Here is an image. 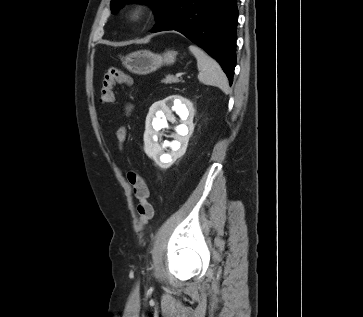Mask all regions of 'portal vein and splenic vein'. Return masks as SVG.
Here are the masks:
<instances>
[{"label":"portal vein and splenic vein","mask_w":363,"mask_h":317,"mask_svg":"<svg viewBox=\"0 0 363 317\" xmlns=\"http://www.w3.org/2000/svg\"><path fill=\"white\" fill-rule=\"evenodd\" d=\"M183 74H184V73H177V74H176V77H177V78L182 77V75H183Z\"/></svg>","instance_id":"obj_1"}]
</instances>
